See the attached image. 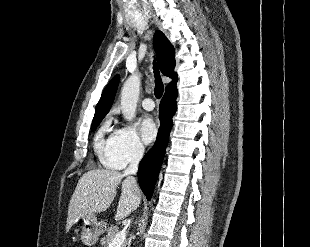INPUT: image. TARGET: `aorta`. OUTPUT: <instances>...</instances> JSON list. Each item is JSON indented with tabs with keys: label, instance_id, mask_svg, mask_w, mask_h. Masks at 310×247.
Masks as SVG:
<instances>
[{
	"label": "aorta",
	"instance_id": "obj_1",
	"mask_svg": "<svg viewBox=\"0 0 310 247\" xmlns=\"http://www.w3.org/2000/svg\"><path fill=\"white\" fill-rule=\"evenodd\" d=\"M139 91L140 77L133 74L127 78L121 91V111L128 121H132L135 116Z\"/></svg>",
	"mask_w": 310,
	"mask_h": 247
}]
</instances>
